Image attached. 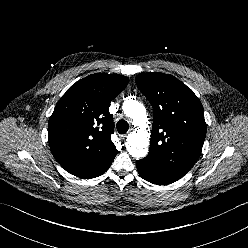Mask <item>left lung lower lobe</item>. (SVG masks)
<instances>
[{"mask_svg":"<svg viewBox=\"0 0 248 248\" xmlns=\"http://www.w3.org/2000/svg\"><path fill=\"white\" fill-rule=\"evenodd\" d=\"M136 166L140 176L153 184L166 185L180 179L154 166V164L147 158L138 160Z\"/></svg>","mask_w":248,"mask_h":248,"instance_id":"0a47b994","label":"left lung lower lobe"}]
</instances>
